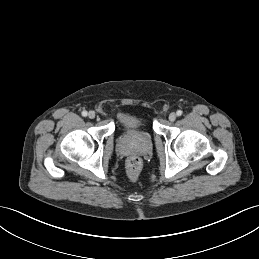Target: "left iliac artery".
Instances as JSON below:
<instances>
[{
	"instance_id": "obj_1",
	"label": "left iliac artery",
	"mask_w": 259,
	"mask_h": 259,
	"mask_svg": "<svg viewBox=\"0 0 259 259\" xmlns=\"http://www.w3.org/2000/svg\"><path fill=\"white\" fill-rule=\"evenodd\" d=\"M182 113H183V112H182L181 110H178V111L176 112L177 116H181Z\"/></svg>"
}]
</instances>
